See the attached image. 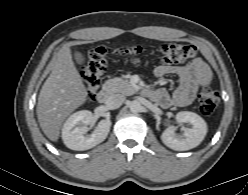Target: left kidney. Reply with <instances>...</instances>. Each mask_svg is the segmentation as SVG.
Instances as JSON below:
<instances>
[{"label":"left kidney","instance_id":"left-kidney-1","mask_svg":"<svg viewBox=\"0 0 248 195\" xmlns=\"http://www.w3.org/2000/svg\"><path fill=\"white\" fill-rule=\"evenodd\" d=\"M179 123H188L191 128H185L182 135L175 133L174 127H168L161 135L162 142L176 151H186L198 146L207 133V124L198 114L182 111L177 113Z\"/></svg>","mask_w":248,"mask_h":195}]
</instances>
